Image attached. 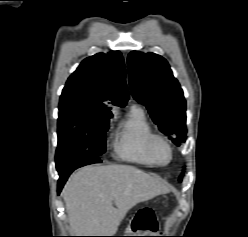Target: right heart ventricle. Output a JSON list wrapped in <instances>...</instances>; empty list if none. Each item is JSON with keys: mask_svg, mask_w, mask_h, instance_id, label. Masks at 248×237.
Here are the masks:
<instances>
[{"mask_svg": "<svg viewBox=\"0 0 248 237\" xmlns=\"http://www.w3.org/2000/svg\"><path fill=\"white\" fill-rule=\"evenodd\" d=\"M153 130L144 110L132 106L128 115L117 124L112 134L114 155L118 160L146 167L155 166L146 151V142Z\"/></svg>", "mask_w": 248, "mask_h": 237, "instance_id": "obj_1", "label": "right heart ventricle"}]
</instances>
